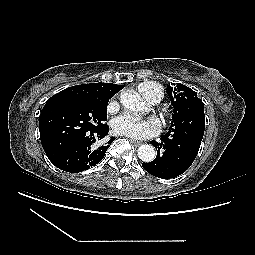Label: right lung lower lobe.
I'll use <instances>...</instances> for the list:
<instances>
[{
  "instance_id": "1",
  "label": "right lung lower lobe",
  "mask_w": 255,
  "mask_h": 255,
  "mask_svg": "<svg viewBox=\"0 0 255 255\" xmlns=\"http://www.w3.org/2000/svg\"><path fill=\"white\" fill-rule=\"evenodd\" d=\"M109 127H101L69 140L60 148H56L41 139L43 149L49 160L59 169L77 173L98 164L104 157L106 150L114 140L111 137L106 143L104 138L108 135Z\"/></svg>"
}]
</instances>
